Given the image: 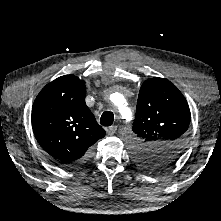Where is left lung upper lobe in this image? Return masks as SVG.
<instances>
[{
    "label": "left lung upper lobe",
    "mask_w": 221,
    "mask_h": 221,
    "mask_svg": "<svg viewBox=\"0 0 221 221\" xmlns=\"http://www.w3.org/2000/svg\"><path fill=\"white\" fill-rule=\"evenodd\" d=\"M190 120L187 101L174 84L158 77L146 80L132 127L138 137L134 159L154 171L174 164L185 146Z\"/></svg>",
    "instance_id": "1"
}]
</instances>
